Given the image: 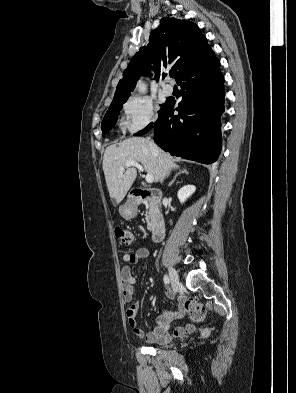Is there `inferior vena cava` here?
I'll return each mask as SVG.
<instances>
[{
    "mask_svg": "<svg viewBox=\"0 0 296 393\" xmlns=\"http://www.w3.org/2000/svg\"><path fill=\"white\" fill-rule=\"evenodd\" d=\"M150 148H151L152 152L157 156V160H158L159 165L163 166V161H162V159H161V157L159 155L157 146L155 145L154 142L150 143Z\"/></svg>",
    "mask_w": 296,
    "mask_h": 393,
    "instance_id": "602c4592",
    "label": "inferior vena cava"
}]
</instances>
